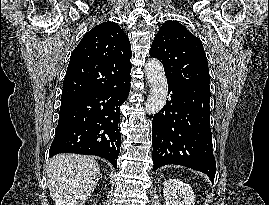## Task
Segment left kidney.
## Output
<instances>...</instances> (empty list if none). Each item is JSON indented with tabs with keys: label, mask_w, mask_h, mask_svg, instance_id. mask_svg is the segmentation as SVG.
<instances>
[{
	"label": "left kidney",
	"mask_w": 269,
	"mask_h": 205,
	"mask_svg": "<svg viewBox=\"0 0 269 205\" xmlns=\"http://www.w3.org/2000/svg\"><path fill=\"white\" fill-rule=\"evenodd\" d=\"M166 205H195V194L192 188L180 180L169 179L164 184Z\"/></svg>",
	"instance_id": "5707ae66"
}]
</instances>
